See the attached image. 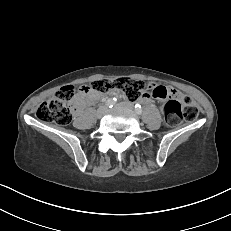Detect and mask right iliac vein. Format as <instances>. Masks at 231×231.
<instances>
[{
  "label": "right iliac vein",
  "instance_id": "63e3f726",
  "mask_svg": "<svg viewBox=\"0 0 231 231\" xmlns=\"http://www.w3.org/2000/svg\"><path fill=\"white\" fill-rule=\"evenodd\" d=\"M107 109L105 107H101L97 110V117L101 118L105 113H106Z\"/></svg>",
  "mask_w": 231,
  "mask_h": 231
}]
</instances>
